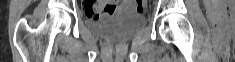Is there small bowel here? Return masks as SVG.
<instances>
[{"label": "small bowel", "mask_w": 235, "mask_h": 62, "mask_svg": "<svg viewBox=\"0 0 235 62\" xmlns=\"http://www.w3.org/2000/svg\"><path fill=\"white\" fill-rule=\"evenodd\" d=\"M97 5V3H87L86 8L88 7H95ZM100 5L105 8V14L104 15H108L113 13L116 9H117V5L115 2H102L100 3Z\"/></svg>", "instance_id": "c3829d8e"}]
</instances>
